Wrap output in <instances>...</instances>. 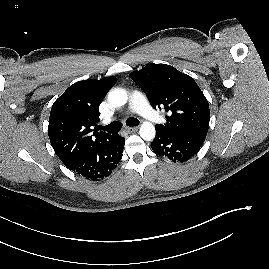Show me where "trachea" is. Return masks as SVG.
Instances as JSON below:
<instances>
[{"mask_svg": "<svg viewBox=\"0 0 269 269\" xmlns=\"http://www.w3.org/2000/svg\"><path fill=\"white\" fill-rule=\"evenodd\" d=\"M126 124L130 127H134L139 125V120L136 118H128L126 120ZM122 127V123L119 121L112 122L111 124L107 126H99L98 130H104L107 131L108 133H117Z\"/></svg>", "mask_w": 269, "mask_h": 269, "instance_id": "1", "label": "trachea"}]
</instances>
